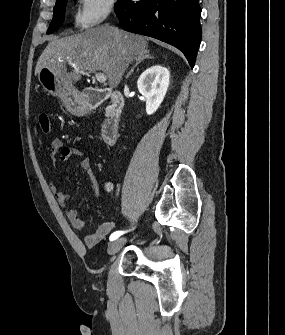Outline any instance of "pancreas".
Instances as JSON below:
<instances>
[{"instance_id":"1","label":"pancreas","mask_w":285,"mask_h":335,"mask_svg":"<svg viewBox=\"0 0 285 335\" xmlns=\"http://www.w3.org/2000/svg\"><path fill=\"white\" fill-rule=\"evenodd\" d=\"M104 117H107V114H104Z\"/></svg>"}]
</instances>
